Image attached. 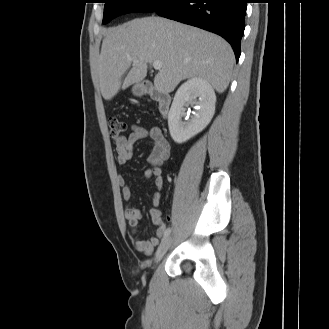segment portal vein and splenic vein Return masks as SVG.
Returning a JSON list of instances; mask_svg holds the SVG:
<instances>
[{
    "mask_svg": "<svg viewBox=\"0 0 329 329\" xmlns=\"http://www.w3.org/2000/svg\"><path fill=\"white\" fill-rule=\"evenodd\" d=\"M133 62L136 63L137 60L136 59H133ZM153 68L155 70H160L162 68V62L161 61H154L153 62Z\"/></svg>",
    "mask_w": 329,
    "mask_h": 329,
    "instance_id": "portal-vein-and-splenic-vein-1",
    "label": "portal vein and splenic vein"
}]
</instances>
